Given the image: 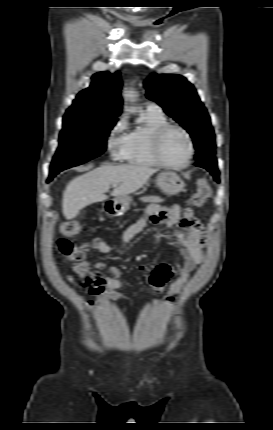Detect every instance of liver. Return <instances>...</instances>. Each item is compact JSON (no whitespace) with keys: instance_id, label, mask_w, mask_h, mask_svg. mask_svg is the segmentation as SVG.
<instances>
[{"instance_id":"liver-1","label":"liver","mask_w":273,"mask_h":430,"mask_svg":"<svg viewBox=\"0 0 273 430\" xmlns=\"http://www.w3.org/2000/svg\"><path fill=\"white\" fill-rule=\"evenodd\" d=\"M156 169L144 165H102L72 179L66 186L62 200L65 218L71 220L79 211L95 202H101L110 186H117L112 195L126 196L139 190Z\"/></svg>"}]
</instances>
